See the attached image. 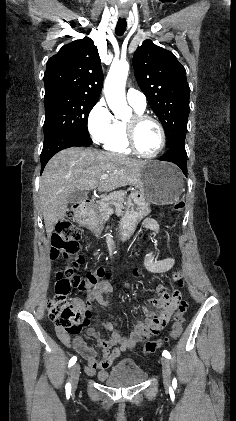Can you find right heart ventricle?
Returning <instances> with one entry per match:
<instances>
[{
	"mask_svg": "<svg viewBox=\"0 0 236 421\" xmlns=\"http://www.w3.org/2000/svg\"><path fill=\"white\" fill-rule=\"evenodd\" d=\"M137 112H142L134 107ZM104 149L117 154L128 155L131 153L129 149L124 135V121L123 120H116L115 126L111 134L103 143Z\"/></svg>",
	"mask_w": 236,
	"mask_h": 421,
	"instance_id": "right-heart-ventricle-1",
	"label": "right heart ventricle"
}]
</instances>
